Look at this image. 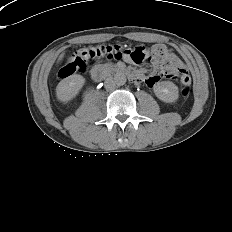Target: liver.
Listing matches in <instances>:
<instances>
[{
	"mask_svg": "<svg viewBox=\"0 0 232 232\" xmlns=\"http://www.w3.org/2000/svg\"><path fill=\"white\" fill-rule=\"evenodd\" d=\"M63 57H64V53H62V54L59 56L58 61H61V60L63 59Z\"/></svg>",
	"mask_w": 232,
	"mask_h": 232,
	"instance_id": "6515ba94",
	"label": "liver"
}]
</instances>
